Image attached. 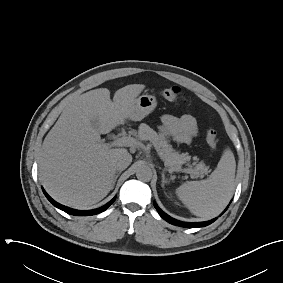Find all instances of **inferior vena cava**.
<instances>
[{
	"label": "inferior vena cava",
	"instance_id": "obj_1",
	"mask_svg": "<svg viewBox=\"0 0 283 283\" xmlns=\"http://www.w3.org/2000/svg\"><path fill=\"white\" fill-rule=\"evenodd\" d=\"M132 162V156L128 153H121L114 159V165L116 170L123 171L125 170L130 163Z\"/></svg>",
	"mask_w": 283,
	"mask_h": 283
}]
</instances>
